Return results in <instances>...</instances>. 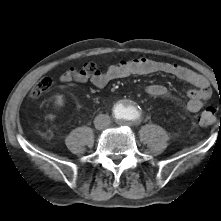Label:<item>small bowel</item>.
Here are the masks:
<instances>
[{"mask_svg":"<svg viewBox=\"0 0 221 221\" xmlns=\"http://www.w3.org/2000/svg\"><path fill=\"white\" fill-rule=\"evenodd\" d=\"M155 73L172 75L193 86L187 93L189 99L184 106L186 112L196 113L200 111L211 96L209 81L201 74L184 66L161 63L146 58L122 60L111 65L105 71H98L92 74L83 70L70 68L61 74L60 81L64 84L90 82L97 88H104L116 79ZM143 90L151 96L168 97L170 95L168 88L163 85H147Z\"/></svg>","mask_w":221,"mask_h":221,"instance_id":"c3829d8e","label":"small bowel"}]
</instances>
